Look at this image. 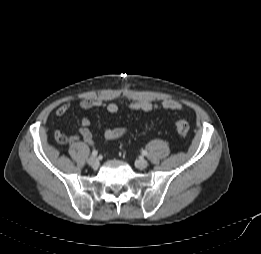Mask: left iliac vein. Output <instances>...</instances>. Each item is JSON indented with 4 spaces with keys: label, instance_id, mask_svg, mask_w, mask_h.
<instances>
[{
    "label": "left iliac vein",
    "instance_id": "left-iliac-vein-1",
    "mask_svg": "<svg viewBox=\"0 0 261 254\" xmlns=\"http://www.w3.org/2000/svg\"><path fill=\"white\" fill-rule=\"evenodd\" d=\"M135 165L139 169H145L148 166V162L144 158H139L136 160Z\"/></svg>",
    "mask_w": 261,
    "mask_h": 254
}]
</instances>
